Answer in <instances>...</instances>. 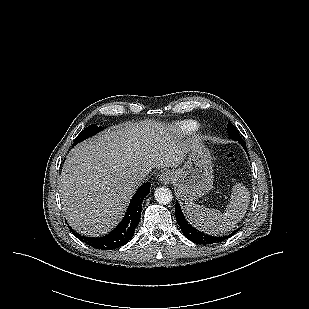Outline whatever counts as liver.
<instances>
[{
    "label": "liver",
    "mask_w": 309,
    "mask_h": 309,
    "mask_svg": "<svg viewBox=\"0 0 309 309\" xmlns=\"http://www.w3.org/2000/svg\"><path fill=\"white\" fill-rule=\"evenodd\" d=\"M172 128L144 121L108 129L75 146L63 165L60 193L68 223L87 236L107 234L123 217L138 185L132 176L177 167L188 153Z\"/></svg>",
    "instance_id": "liver-1"
}]
</instances>
